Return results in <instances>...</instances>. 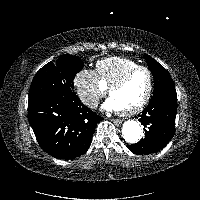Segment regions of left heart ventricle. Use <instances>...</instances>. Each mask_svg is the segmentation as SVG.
<instances>
[{
    "mask_svg": "<svg viewBox=\"0 0 200 200\" xmlns=\"http://www.w3.org/2000/svg\"><path fill=\"white\" fill-rule=\"evenodd\" d=\"M148 75L145 71L135 73L121 88L115 90L111 97L120 110L129 109L138 104L146 94Z\"/></svg>",
    "mask_w": 200,
    "mask_h": 200,
    "instance_id": "left-heart-ventricle-1",
    "label": "left heart ventricle"
}]
</instances>
